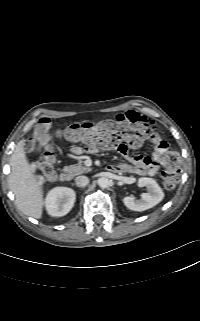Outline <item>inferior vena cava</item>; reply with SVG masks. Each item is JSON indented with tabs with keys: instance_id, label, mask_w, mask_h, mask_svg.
<instances>
[{
	"instance_id": "inferior-vena-cava-1",
	"label": "inferior vena cava",
	"mask_w": 200,
	"mask_h": 321,
	"mask_svg": "<svg viewBox=\"0 0 200 321\" xmlns=\"http://www.w3.org/2000/svg\"><path fill=\"white\" fill-rule=\"evenodd\" d=\"M75 182L78 187H85L89 184V178L86 176H78L76 177Z\"/></svg>"
}]
</instances>
